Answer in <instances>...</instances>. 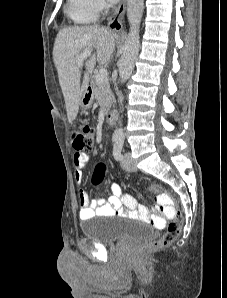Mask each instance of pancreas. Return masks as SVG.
Returning <instances> with one entry per match:
<instances>
[{"instance_id": "cf45deb5", "label": "pancreas", "mask_w": 227, "mask_h": 298, "mask_svg": "<svg viewBox=\"0 0 227 298\" xmlns=\"http://www.w3.org/2000/svg\"><path fill=\"white\" fill-rule=\"evenodd\" d=\"M91 87L93 97L97 100V103L103 108L104 112H107L110 109L113 102L115 101L108 80H105L103 82H97L96 75H94L92 77Z\"/></svg>"}]
</instances>
